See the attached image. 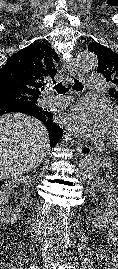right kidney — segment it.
I'll use <instances>...</instances> for the list:
<instances>
[{"label": "right kidney", "instance_id": "ca27d5eb", "mask_svg": "<svg viewBox=\"0 0 118 269\" xmlns=\"http://www.w3.org/2000/svg\"><path fill=\"white\" fill-rule=\"evenodd\" d=\"M31 178L29 176H17L14 177L11 181H6L0 187V222L4 224L14 223L19 216L21 211L20 206L11 208L8 206V199L11 192L17 185L23 183L26 188H29L31 185Z\"/></svg>", "mask_w": 118, "mask_h": 269}]
</instances>
